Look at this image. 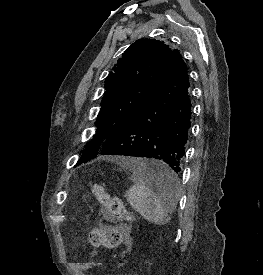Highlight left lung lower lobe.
Segmentation results:
<instances>
[{
	"instance_id": "obj_1",
	"label": "left lung lower lobe",
	"mask_w": 263,
	"mask_h": 275,
	"mask_svg": "<svg viewBox=\"0 0 263 275\" xmlns=\"http://www.w3.org/2000/svg\"><path fill=\"white\" fill-rule=\"evenodd\" d=\"M192 104L189 76L177 51L165 76L139 110L98 154L157 159L168 164L170 172L146 169L147 181L170 192L182 158L191 126Z\"/></svg>"
}]
</instances>
